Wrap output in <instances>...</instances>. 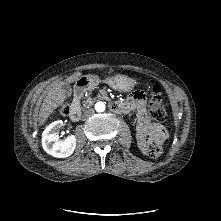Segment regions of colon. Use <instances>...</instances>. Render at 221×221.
Returning <instances> with one entry per match:
<instances>
[{"label": "colon", "mask_w": 221, "mask_h": 221, "mask_svg": "<svg viewBox=\"0 0 221 221\" xmlns=\"http://www.w3.org/2000/svg\"><path fill=\"white\" fill-rule=\"evenodd\" d=\"M161 86L159 84H154L151 88V98L149 101V115L158 121H163L167 117L166 109L163 101L160 97ZM67 106L64 107L63 112H67ZM163 153V147L160 144L152 145L148 150L147 154L151 158H158Z\"/></svg>", "instance_id": "obj_1"}]
</instances>
